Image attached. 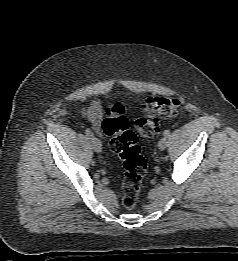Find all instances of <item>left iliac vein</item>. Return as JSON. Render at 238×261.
<instances>
[{"label": "left iliac vein", "instance_id": "4c4485c4", "mask_svg": "<svg viewBox=\"0 0 238 261\" xmlns=\"http://www.w3.org/2000/svg\"><path fill=\"white\" fill-rule=\"evenodd\" d=\"M167 138L162 137L158 142V148L162 151L167 147Z\"/></svg>", "mask_w": 238, "mask_h": 261}]
</instances>
